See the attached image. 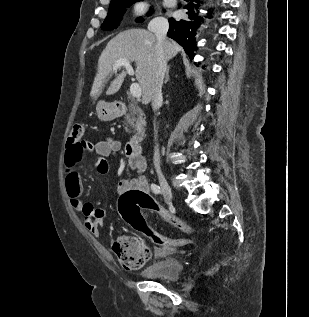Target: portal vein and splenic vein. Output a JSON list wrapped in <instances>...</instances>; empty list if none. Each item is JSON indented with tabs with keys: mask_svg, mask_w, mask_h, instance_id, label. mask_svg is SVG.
Segmentation results:
<instances>
[{
	"mask_svg": "<svg viewBox=\"0 0 309 317\" xmlns=\"http://www.w3.org/2000/svg\"><path fill=\"white\" fill-rule=\"evenodd\" d=\"M124 66L128 72L129 75H134L133 68L130 64V62L126 59H120L116 61V63L113 65V70H117L118 68ZM130 93L135 98H140L142 95L141 87L138 83H132L130 86Z\"/></svg>",
	"mask_w": 309,
	"mask_h": 317,
	"instance_id": "portal-vein-and-splenic-vein-1",
	"label": "portal vein and splenic vein"
}]
</instances>
